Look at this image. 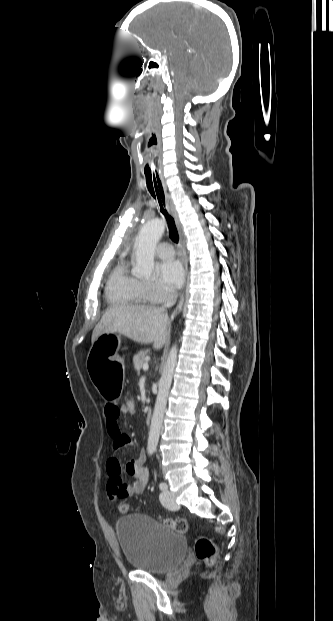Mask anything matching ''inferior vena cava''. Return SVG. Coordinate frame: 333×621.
Returning <instances> with one entry per match:
<instances>
[{
  "label": "inferior vena cava",
  "mask_w": 333,
  "mask_h": 621,
  "mask_svg": "<svg viewBox=\"0 0 333 621\" xmlns=\"http://www.w3.org/2000/svg\"><path fill=\"white\" fill-rule=\"evenodd\" d=\"M178 293L175 290H170L165 294L164 305L161 311L165 312L167 308L172 307L177 301Z\"/></svg>",
  "instance_id": "inferior-vena-cava-1"
}]
</instances>
